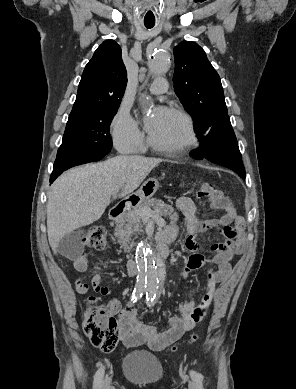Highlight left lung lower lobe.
I'll use <instances>...</instances> for the list:
<instances>
[{"label": "left lung lower lobe", "mask_w": 296, "mask_h": 389, "mask_svg": "<svg viewBox=\"0 0 296 389\" xmlns=\"http://www.w3.org/2000/svg\"><path fill=\"white\" fill-rule=\"evenodd\" d=\"M199 141V146L190 152L194 159H206L233 170L243 179L246 177L241 153L229 117L213 125Z\"/></svg>", "instance_id": "obj_1"}]
</instances>
